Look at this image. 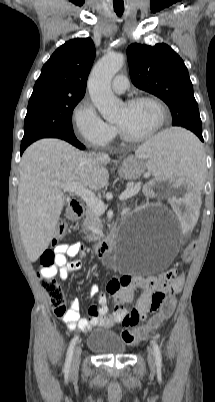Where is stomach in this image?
Segmentation results:
<instances>
[{"label":"stomach","instance_id":"1","mask_svg":"<svg viewBox=\"0 0 215 402\" xmlns=\"http://www.w3.org/2000/svg\"><path fill=\"white\" fill-rule=\"evenodd\" d=\"M145 171L140 156H127L124 158L118 168L119 175L127 180H135L139 178Z\"/></svg>","mask_w":215,"mask_h":402}]
</instances>
